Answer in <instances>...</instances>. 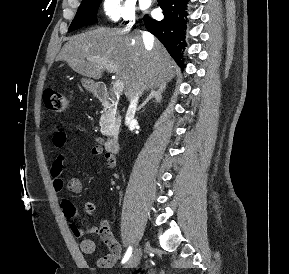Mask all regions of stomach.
Segmentation results:
<instances>
[{
  "mask_svg": "<svg viewBox=\"0 0 289 274\" xmlns=\"http://www.w3.org/2000/svg\"><path fill=\"white\" fill-rule=\"evenodd\" d=\"M83 87L88 90L89 92H96V83L91 80V79H87V78H83L81 80Z\"/></svg>",
  "mask_w": 289,
  "mask_h": 274,
  "instance_id": "0dacf381",
  "label": "stomach"
}]
</instances>
